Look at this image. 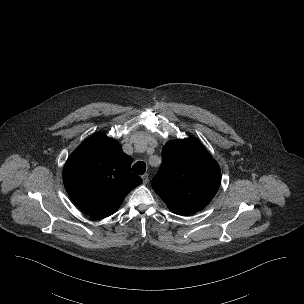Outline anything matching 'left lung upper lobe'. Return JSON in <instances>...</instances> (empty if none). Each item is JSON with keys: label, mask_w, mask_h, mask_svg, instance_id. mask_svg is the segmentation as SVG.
<instances>
[{"label": "left lung upper lobe", "mask_w": 304, "mask_h": 304, "mask_svg": "<svg viewBox=\"0 0 304 304\" xmlns=\"http://www.w3.org/2000/svg\"><path fill=\"white\" fill-rule=\"evenodd\" d=\"M162 158L152 187L168 208L191 215L206 207L218 191L221 171L204 146L195 138L167 142Z\"/></svg>", "instance_id": "5c2ea615"}]
</instances>
